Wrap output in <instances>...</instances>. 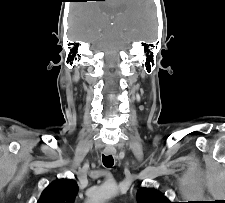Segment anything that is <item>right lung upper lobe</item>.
I'll return each instance as SVG.
<instances>
[{"instance_id": "cb5924a9", "label": "right lung upper lobe", "mask_w": 225, "mask_h": 203, "mask_svg": "<svg viewBox=\"0 0 225 203\" xmlns=\"http://www.w3.org/2000/svg\"><path fill=\"white\" fill-rule=\"evenodd\" d=\"M77 192L78 185L74 180H56L43 191L38 203H74Z\"/></svg>"}]
</instances>
